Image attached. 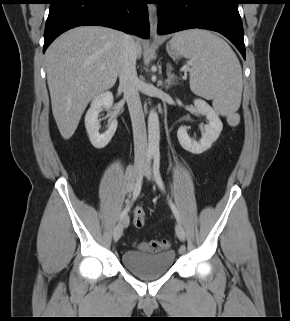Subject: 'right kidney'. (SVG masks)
I'll return each mask as SVG.
<instances>
[{"label":"right kidney","mask_w":290,"mask_h":321,"mask_svg":"<svg viewBox=\"0 0 290 321\" xmlns=\"http://www.w3.org/2000/svg\"><path fill=\"white\" fill-rule=\"evenodd\" d=\"M113 105V94L111 92H104L96 96L90 105L85 115V128L89 136L91 144L97 148H104L112 139L116 129L117 120L114 116L111 117V122L108 129L100 134L98 114L105 108L110 110Z\"/></svg>","instance_id":"ca27d5eb"}]
</instances>
